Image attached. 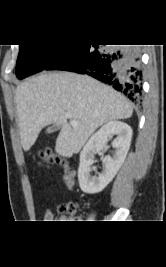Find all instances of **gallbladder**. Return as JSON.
<instances>
[{
  "label": "gallbladder",
  "mask_w": 166,
  "mask_h": 267,
  "mask_svg": "<svg viewBox=\"0 0 166 267\" xmlns=\"http://www.w3.org/2000/svg\"><path fill=\"white\" fill-rule=\"evenodd\" d=\"M60 128H61L60 126H51V127H48L47 130H46V133H52L54 131L59 130Z\"/></svg>",
  "instance_id": "obj_1"
}]
</instances>
